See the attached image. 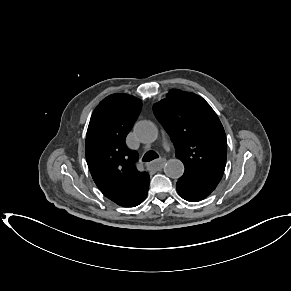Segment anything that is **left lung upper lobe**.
Returning <instances> with one entry per match:
<instances>
[{"label": "left lung upper lobe", "mask_w": 291, "mask_h": 291, "mask_svg": "<svg viewBox=\"0 0 291 291\" xmlns=\"http://www.w3.org/2000/svg\"><path fill=\"white\" fill-rule=\"evenodd\" d=\"M153 111L185 166L177 185L207 197L220 182L227 157L226 135L217 114L199 95L178 89L155 103Z\"/></svg>", "instance_id": "left-lung-upper-lobe-1"}]
</instances>
